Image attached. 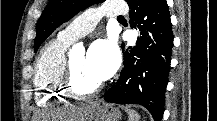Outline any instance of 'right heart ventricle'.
Masks as SVG:
<instances>
[{
  "instance_id": "obj_1",
  "label": "right heart ventricle",
  "mask_w": 217,
  "mask_h": 121,
  "mask_svg": "<svg viewBox=\"0 0 217 121\" xmlns=\"http://www.w3.org/2000/svg\"><path fill=\"white\" fill-rule=\"evenodd\" d=\"M70 43L58 36L48 42L37 57L34 86L36 102L41 106H50L65 98L61 76L66 62L65 52Z\"/></svg>"
}]
</instances>
